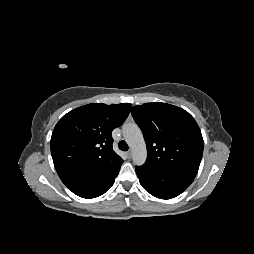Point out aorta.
<instances>
[{
    "label": "aorta",
    "mask_w": 254,
    "mask_h": 254,
    "mask_svg": "<svg viewBox=\"0 0 254 254\" xmlns=\"http://www.w3.org/2000/svg\"><path fill=\"white\" fill-rule=\"evenodd\" d=\"M122 130L127 144L131 147L134 164L143 165L147 158V149L140 128L135 123H127Z\"/></svg>",
    "instance_id": "aorta-1"
}]
</instances>
